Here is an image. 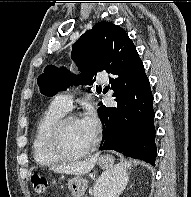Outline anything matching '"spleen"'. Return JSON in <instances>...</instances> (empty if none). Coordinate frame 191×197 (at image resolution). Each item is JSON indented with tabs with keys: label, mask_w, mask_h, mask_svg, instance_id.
Here are the masks:
<instances>
[{
	"label": "spleen",
	"mask_w": 191,
	"mask_h": 197,
	"mask_svg": "<svg viewBox=\"0 0 191 197\" xmlns=\"http://www.w3.org/2000/svg\"><path fill=\"white\" fill-rule=\"evenodd\" d=\"M113 175L120 176L125 182L128 180V177H127V174H126L125 170L121 167H117L116 171L113 172ZM121 190H122L121 188H118L116 190V193L121 192Z\"/></svg>",
	"instance_id": "obj_1"
}]
</instances>
